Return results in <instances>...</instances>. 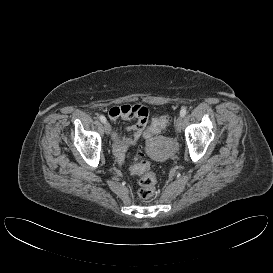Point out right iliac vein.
Returning <instances> with one entry per match:
<instances>
[{"label": "right iliac vein", "instance_id": "1", "mask_svg": "<svg viewBox=\"0 0 273 273\" xmlns=\"http://www.w3.org/2000/svg\"><path fill=\"white\" fill-rule=\"evenodd\" d=\"M104 130H105L106 135L109 136L111 134V126L108 122L104 123Z\"/></svg>", "mask_w": 273, "mask_h": 273}]
</instances>
